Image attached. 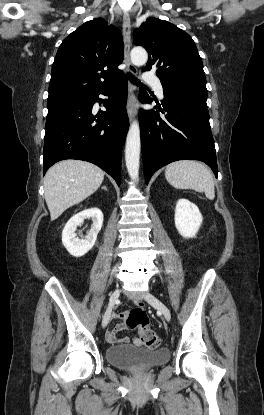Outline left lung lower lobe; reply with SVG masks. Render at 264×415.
Listing matches in <instances>:
<instances>
[{"mask_svg":"<svg viewBox=\"0 0 264 415\" xmlns=\"http://www.w3.org/2000/svg\"><path fill=\"white\" fill-rule=\"evenodd\" d=\"M162 114L140 110L141 147L146 184L159 168L177 160L205 162L217 177L218 168L212 137L207 93L192 89H163ZM139 100L151 103L141 91Z\"/></svg>","mask_w":264,"mask_h":415,"instance_id":"left-lung-lower-lobe-1","label":"left lung lower lobe"}]
</instances>
